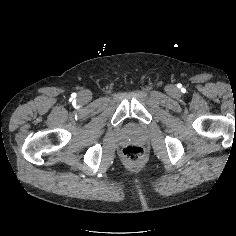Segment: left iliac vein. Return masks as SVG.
<instances>
[{"label":"left iliac vein","instance_id":"obj_1","mask_svg":"<svg viewBox=\"0 0 236 236\" xmlns=\"http://www.w3.org/2000/svg\"><path fill=\"white\" fill-rule=\"evenodd\" d=\"M168 94L171 97H177L178 96V90L175 86H169L167 89Z\"/></svg>","mask_w":236,"mask_h":236}]
</instances>
